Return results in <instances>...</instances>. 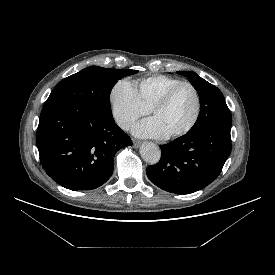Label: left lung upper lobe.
<instances>
[{"label":"left lung upper lobe","mask_w":275,"mask_h":275,"mask_svg":"<svg viewBox=\"0 0 275 275\" xmlns=\"http://www.w3.org/2000/svg\"><path fill=\"white\" fill-rule=\"evenodd\" d=\"M177 74L189 78L197 90L201 102L197 121L188 132L211 127H231V113L224 96L216 86L192 71H177Z\"/></svg>","instance_id":"obj_1"}]
</instances>
